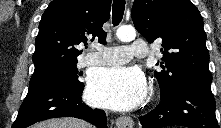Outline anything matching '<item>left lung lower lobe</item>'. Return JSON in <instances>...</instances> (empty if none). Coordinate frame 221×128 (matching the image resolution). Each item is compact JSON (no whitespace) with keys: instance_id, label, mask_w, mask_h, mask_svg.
I'll list each match as a JSON object with an SVG mask.
<instances>
[{"instance_id":"0a47b994","label":"left lung lower lobe","mask_w":221,"mask_h":128,"mask_svg":"<svg viewBox=\"0 0 221 128\" xmlns=\"http://www.w3.org/2000/svg\"><path fill=\"white\" fill-rule=\"evenodd\" d=\"M215 107L211 86L191 84L172 95L161 97L157 107L139 119L142 128H162L172 125L188 128H219Z\"/></svg>"}]
</instances>
